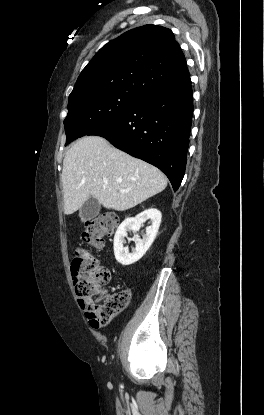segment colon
<instances>
[{
	"mask_svg": "<svg viewBox=\"0 0 264 415\" xmlns=\"http://www.w3.org/2000/svg\"><path fill=\"white\" fill-rule=\"evenodd\" d=\"M117 224L118 216L115 214H105L87 221L82 232L83 243L92 248H101ZM71 271L86 275L76 288L81 308L93 326H106L128 306L129 291L108 292L106 285L110 280V271L98 264L97 257L90 249L77 252L71 261Z\"/></svg>",
	"mask_w": 264,
	"mask_h": 415,
	"instance_id": "5ec220e1",
	"label": "colon"
}]
</instances>
